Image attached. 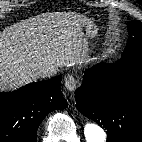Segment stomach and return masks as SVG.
<instances>
[{"instance_id":"obj_1","label":"stomach","mask_w":142,"mask_h":142,"mask_svg":"<svg viewBox=\"0 0 142 142\" xmlns=\"http://www.w3.org/2000/svg\"><path fill=\"white\" fill-rule=\"evenodd\" d=\"M82 29L88 39H93L97 35V28L90 20L82 25Z\"/></svg>"}]
</instances>
